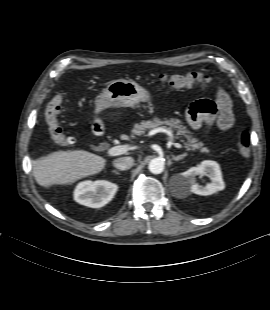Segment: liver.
Wrapping results in <instances>:
<instances>
[{
    "instance_id": "1",
    "label": "liver",
    "mask_w": 270,
    "mask_h": 310,
    "mask_svg": "<svg viewBox=\"0 0 270 310\" xmlns=\"http://www.w3.org/2000/svg\"><path fill=\"white\" fill-rule=\"evenodd\" d=\"M106 159L85 150H58L32 160L36 182L48 188L52 185L72 184L79 179L98 174Z\"/></svg>"
}]
</instances>
